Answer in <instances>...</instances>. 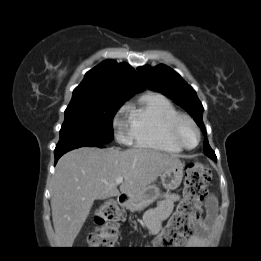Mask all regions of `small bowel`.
Returning <instances> with one entry per match:
<instances>
[{"mask_svg": "<svg viewBox=\"0 0 261 261\" xmlns=\"http://www.w3.org/2000/svg\"><path fill=\"white\" fill-rule=\"evenodd\" d=\"M179 200L177 194H163L159 200L158 206L151 210L146 216V224L150 232L158 233L162 224L171 216L174 204ZM207 216L203 221L197 220L194 223V234L187 241L188 247L197 246L205 241L206 235L212 225L215 214L216 205L213 197H209L206 203Z\"/></svg>", "mask_w": 261, "mask_h": 261, "instance_id": "small-bowel-1", "label": "small bowel"}]
</instances>
